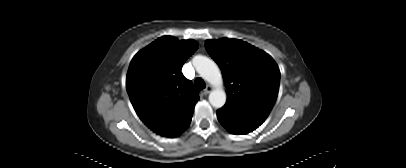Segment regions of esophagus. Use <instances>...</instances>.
<instances>
[{"instance_id":"esophagus-1","label":"esophagus","mask_w":406,"mask_h":168,"mask_svg":"<svg viewBox=\"0 0 406 168\" xmlns=\"http://www.w3.org/2000/svg\"><path fill=\"white\" fill-rule=\"evenodd\" d=\"M212 91V87L210 85H207V87L203 90V93L207 95Z\"/></svg>"}]
</instances>
